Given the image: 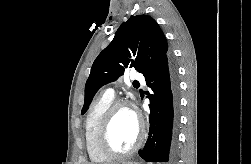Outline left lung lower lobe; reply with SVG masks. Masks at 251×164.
Here are the masks:
<instances>
[{"mask_svg":"<svg viewBox=\"0 0 251 164\" xmlns=\"http://www.w3.org/2000/svg\"><path fill=\"white\" fill-rule=\"evenodd\" d=\"M150 99V128L147 142L139 155L146 162L172 164L175 159L179 121V83L171 55L163 59L147 76Z\"/></svg>","mask_w":251,"mask_h":164,"instance_id":"0a47b994","label":"left lung lower lobe"}]
</instances>
